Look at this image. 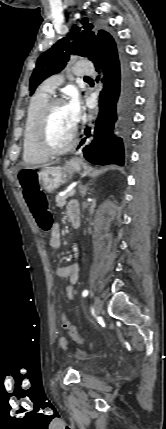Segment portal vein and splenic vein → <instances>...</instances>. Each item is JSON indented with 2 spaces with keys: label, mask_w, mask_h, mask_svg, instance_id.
Listing matches in <instances>:
<instances>
[{
  "label": "portal vein and splenic vein",
  "mask_w": 166,
  "mask_h": 429,
  "mask_svg": "<svg viewBox=\"0 0 166 429\" xmlns=\"http://www.w3.org/2000/svg\"><path fill=\"white\" fill-rule=\"evenodd\" d=\"M75 189H73V190H71L69 193H68V196L69 197H73L74 195H75Z\"/></svg>",
  "instance_id": "1"
}]
</instances>
